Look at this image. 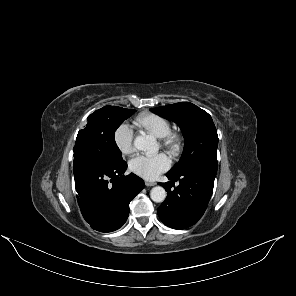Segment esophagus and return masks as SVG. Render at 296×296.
<instances>
[{"label":"esophagus","mask_w":296,"mask_h":296,"mask_svg":"<svg viewBox=\"0 0 296 296\" xmlns=\"http://www.w3.org/2000/svg\"><path fill=\"white\" fill-rule=\"evenodd\" d=\"M145 185L148 186V187H151V186L156 185V183L155 182H151V181H145Z\"/></svg>","instance_id":"1"}]
</instances>
